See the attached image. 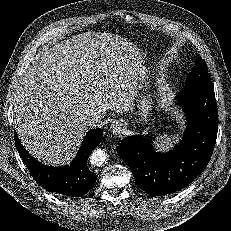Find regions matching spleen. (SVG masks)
<instances>
[{"label": "spleen", "mask_w": 231, "mask_h": 231, "mask_svg": "<svg viewBox=\"0 0 231 231\" xmlns=\"http://www.w3.org/2000/svg\"><path fill=\"white\" fill-rule=\"evenodd\" d=\"M172 141H179V135L170 136L168 134H163L156 137L154 143L155 145L162 150H169V147L172 146Z\"/></svg>", "instance_id": "3e777b00"}]
</instances>
